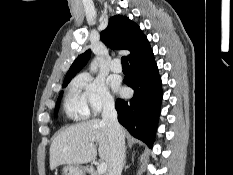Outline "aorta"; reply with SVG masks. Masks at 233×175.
<instances>
[{
	"label": "aorta",
	"mask_w": 233,
	"mask_h": 175,
	"mask_svg": "<svg viewBox=\"0 0 233 175\" xmlns=\"http://www.w3.org/2000/svg\"><path fill=\"white\" fill-rule=\"evenodd\" d=\"M98 68V59H94L90 65V71L96 72Z\"/></svg>",
	"instance_id": "1"
}]
</instances>
